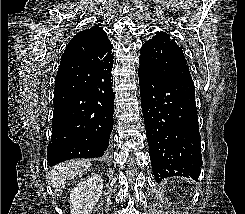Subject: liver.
<instances>
[{"instance_id": "liver-1", "label": "liver", "mask_w": 245, "mask_h": 214, "mask_svg": "<svg viewBox=\"0 0 245 214\" xmlns=\"http://www.w3.org/2000/svg\"><path fill=\"white\" fill-rule=\"evenodd\" d=\"M91 166L88 160H72L57 165L49 174V182L54 188L55 194L59 197L65 188L66 183L74 177L81 175Z\"/></svg>"}]
</instances>
